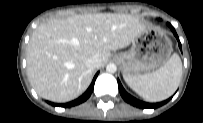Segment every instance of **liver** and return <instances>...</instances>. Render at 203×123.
Listing matches in <instances>:
<instances>
[{
	"label": "liver",
	"mask_w": 203,
	"mask_h": 123,
	"mask_svg": "<svg viewBox=\"0 0 203 123\" xmlns=\"http://www.w3.org/2000/svg\"><path fill=\"white\" fill-rule=\"evenodd\" d=\"M148 26L130 14L98 13L50 19L33 32L27 46V76L37 94L64 103L90 85L93 70L86 60L104 66L111 50L128 46Z\"/></svg>",
	"instance_id": "liver-1"
}]
</instances>
